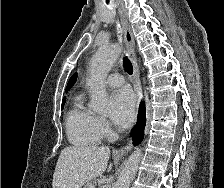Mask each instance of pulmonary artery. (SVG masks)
<instances>
[{
	"instance_id": "e3ab8cb5",
	"label": "pulmonary artery",
	"mask_w": 224,
	"mask_h": 188,
	"mask_svg": "<svg viewBox=\"0 0 224 188\" xmlns=\"http://www.w3.org/2000/svg\"><path fill=\"white\" fill-rule=\"evenodd\" d=\"M105 82L109 87H120L124 84V77L120 74L113 73L106 78Z\"/></svg>"
}]
</instances>
